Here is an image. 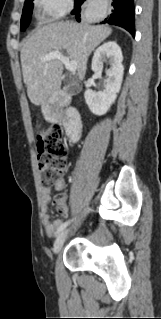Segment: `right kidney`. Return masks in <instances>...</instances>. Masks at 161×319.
<instances>
[{"mask_svg":"<svg viewBox=\"0 0 161 319\" xmlns=\"http://www.w3.org/2000/svg\"><path fill=\"white\" fill-rule=\"evenodd\" d=\"M123 56L121 48L116 42L104 43L94 53L92 59V70L101 73L104 63L110 64V69L106 72V89L103 92H96L91 89L85 91L84 97L90 111L95 115H104L114 103L120 91L124 67L122 65Z\"/></svg>","mask_w":161,"mask_h":319,"instance_id":"ca27d5eb","label":"right kidney"}]
</instances>
